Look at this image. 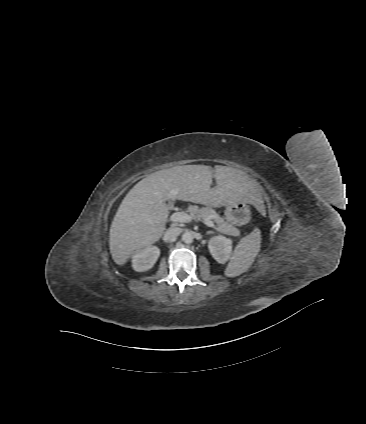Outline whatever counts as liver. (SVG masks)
Instances as JSON below:
<instances>
[{"instance_id":"liver-1","label":"liver","mask_w":366,"mask_h":424,"mask_svg":"<svg viewBox=\"0 0 366 424\" xmlns=\"http://www.w3.org/2000/svg\"><path fill=\"white\" fill-rule=\"evenodd\" d=\"M213 177L217 185L211 188ZM167 200L215 208L234 202L257 208L262 204L249 176L230 167L185 165L152 173L127 193L111 223L109 247L116 264L124 265L133 254L162 237L169 215Z\"/></svg>"}]
</instances>
